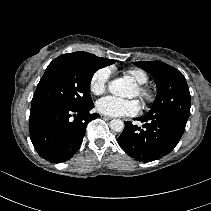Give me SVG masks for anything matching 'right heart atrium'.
I'll list each match as a JSON object with an SVG mask.
<instances>
[{
	"mask_svg": "<svg viewBox=\"0 0 211 211\" xmlns=\"http://www.w3.org/2000/svg\"><path fill=\"white\" fill-rule=\"evenodd\" d=\"M111 76V70L103 67L95 71L90 79V90L93 94H102L108 87Z\"/></svg>",
	"mask_w": 211,
	"mask_h": 211,
	"instance_id": "d8ad5b80",
	"label": "right heart atrium"
}]
</instances>
